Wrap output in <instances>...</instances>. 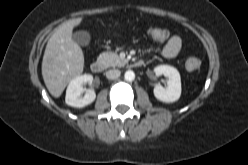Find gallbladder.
Here are the masks:
<instances>
[{
    "mask_svg": "<svg viewBox=\"0 0 248 165\" xmlns=\"http://www.w3.org/2000/svg\"><path fill=\"white\" fill-rule=\"evenodd\" d=\"M72 39L79 45L87 46L90 42V34L87 31H78L72 35Z\"/></svg>",
    "mask_w": 248,
    "mask_h": 165,
    "instance_id": "gallbladder-1",
    "label": "gallbladder"
}]
</instances>
